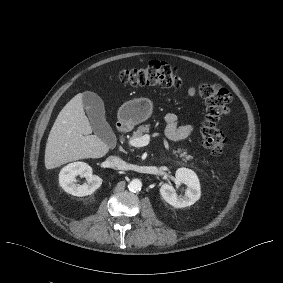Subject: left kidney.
Instances as JSON below:
<instances>
[{"instance_id":"5707ae66","label":"left kidney","mask_w":283,"mask_h":283,"mask_svg":"<svg viewBox=\"0 0 283 283\" xmlns=\"http://www.w3.org/2000/svg\"><path fill=\"white\" fill-rule=\"evenodd\" d=\"M175 177L178 185L184 183L187 186L185 195H177L175 188L170 183H165L160 188L162 198L175 208L193 205L201 196L198 176L188 168H179L175 173Z\"/></svg>"}]
</instances>
